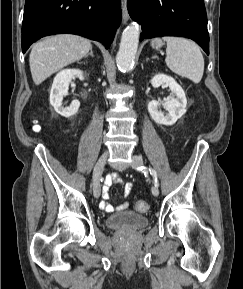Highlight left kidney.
Listing matches in <instances>:
<instances>
[{
    "instance_id": "5707ae66",
    "label": "left kidney",
    "mask_w": 243,
    "mask_h": 289,
    "mask_svg": "<svg viewBox=\"0 0 243 289\" xmlns=\"http://www.w3.org/2000/svg\"><path fill=\"white\" fill-rule=\"evenodd\" d=\"M151 84L154 88L161 85H166L170 88L176 97H171L166 102L152 100L148 104L150 116L157 124L173 125L176 121L186 113L187 99L182 87L172 78L164 74L155 75L151 79ZM162 105L168 113L164 115L158 108Z\"/></svg>"
}]
</instances>
